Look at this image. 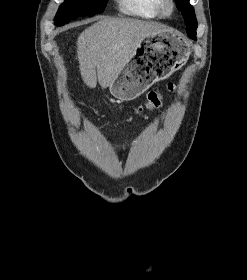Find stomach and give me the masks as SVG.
I'll list each match as a JSON object with an SVG mask.
<instances>
[{
    "label": "stomach",
    "instance_id": "obj_1",
    "mask_svg": "<svg viewBox=\"0 0 247 280\" xmlns=\"http://www.w3.org/2000/svg\"><path fill=\"white\" fill-rule=\"evenodd\" d=\"M185 40L170 31L153 33L142 40L134 56L120 69L109 86L123 101L136 98L155 82L168 78L188 59Z\"/></svg>",
    "mask_w": 247,
    "mask_h": 280
}]
</instances>
